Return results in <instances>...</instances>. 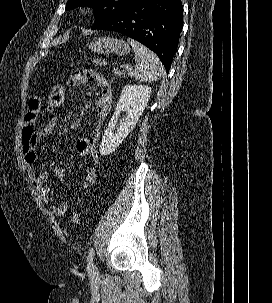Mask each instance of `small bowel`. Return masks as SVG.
<instances>
[{
    "instance_id": "c3829d8e",
    "label": "small bowel",
    "mask_w": 272,
    "mask_h": 303,
    "mask_svg": "<svg viewBox=\"0 0 272 303\" xmlns=\"http://www.w3.org/2000/svg\"><path fill=\"white\" fill-rule=\"evenodd\" d=\"M86 82H94L99 88V95L95 101L96 126L87 136L76 141V151L80 156L87 157L90 160L86 167L85 176L81 183L83 189L91 188L97 178V167L100 158L96 150V145L100 139L103 121L110 111L112 104V90L106 78L99 72L91 69L76 71L68 78V85L79 86ZM41 109V99L38 96L32 97L28 102L27 112L24 117V123L21 133V150L24 162L28 169V175L33 186L39 192V196L44 203L50 201V189L46 185L48 172L37 171L33 165L37 160L36 147L40 139L48 137L54 133V129L42 127L36 129V121ZM52 173L59 179H64L65 170L62 167L54 166ZM68 208L67 202H60L52 206V212L55 216H63Z\"/></svg>"
}]
</instances>
